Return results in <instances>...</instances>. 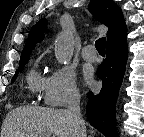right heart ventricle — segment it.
Masks as SVG:
<instances>
[{"mask_svg":"<svg viewBox=\"0 0 144 137\" xmlns=\"http://www.w3.org/2000/svg\"><path fill=\"white\" fill-rule=\"evenodd\" d=\"M28 88L38 92L44 88L46 77L37 67L32 68L26 77Z\"/></svg>","mask_w":144,"mask_h":137,"instance_id":"right-heart-ventricle-1","label":"right heart ventricle"}]
</instances>
